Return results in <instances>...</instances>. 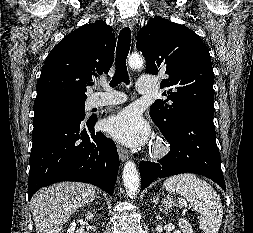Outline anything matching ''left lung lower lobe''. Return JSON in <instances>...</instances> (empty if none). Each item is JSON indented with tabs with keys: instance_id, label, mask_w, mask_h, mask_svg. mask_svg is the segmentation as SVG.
Returning <instances> with one entry per match:
<instances>
[{
	"instance_id": "0a47b994",
	"label": "left lung lower lobe",
	"mask_w": 253,
	"mask_h": 233,
	"mask_svg": "<svg viewBox=\"0 0 253 233\" xmlns=\"http://www.w3.org/2000/svg\"><path fill=\"white\" fill-rule=\"evenodd\" d=\"M163 135L170 143V152L159 163L140 162L142 190L158 178L196 173L214 180L226 191L213 115L197 113L181 117L175 131Z\"/></svg>"
}]
</instances>
